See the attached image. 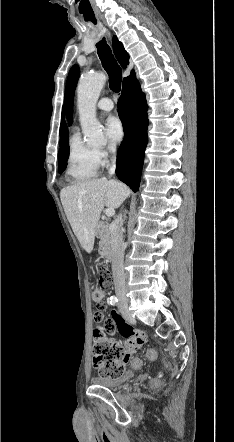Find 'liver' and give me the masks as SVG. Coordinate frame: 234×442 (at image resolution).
<instances>
[{
  "mask_svg": "<svg viewBox=\"0 0 234 442\" xmlns=\"http://www.w3.org/2000/svg\"><path fill=\"white\" fill-rule=\"evenodd\" d=\"M129 193L125 184L106 178L77 182L61 190L60 198L67 219L88 253L93 250L95 231L104 206L118 208Z\"/></svg>",
  "mask_w": 234,
  "mask_h": 442,
  "instance_id": "liver-1",
  "label": "liver"
}]
</instances>
